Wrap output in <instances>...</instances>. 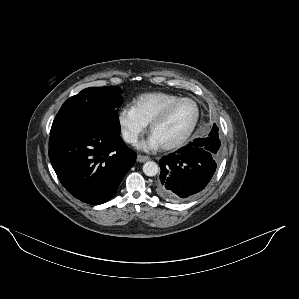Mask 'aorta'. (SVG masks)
<instances>
[{
    "label": "aorta",
    "mask_w": 299,
    "mask_h": 299,
    "mask_svg": "<svg viewBox=\"0 0 299 299\" xmlns=\"http://www.w3.org/2000/svg\"><path fill=\"white\" fill-rule=\"evenodd\" d=\"M158 171L159 167L154 161H148L143 165V172L147 176H155Z\"/></svg>",
    "instance_id": "762f6f07"
}]
</instances>
